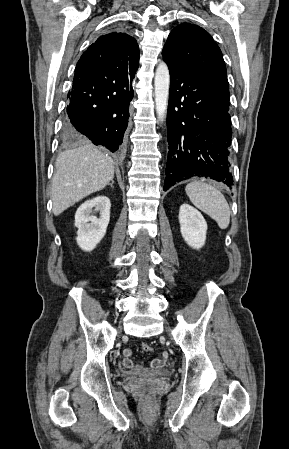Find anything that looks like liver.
Returning a JSON list of instances; mask_svg holds the SVG:
<instances>
[{
    "label": "liver",
    "instance_id": "obj_1",
    "mask_svg": "<svg viewBox=\"0 0 289 449\" xmlns=\"http://www.w3.org/2000/svg\"><path fill=\"white\" fill-rule=\"evenodd\" d=\"M55 169L52 202L56 216L105 188L114 177L113 160L91 144L59 154Z\"/></svg>",
    "mask_w": 289,
    "mask_h": 449
}]
</instances>
